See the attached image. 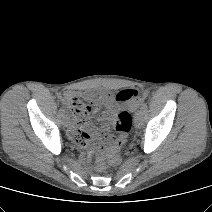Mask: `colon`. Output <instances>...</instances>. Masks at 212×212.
Here are the masks:
<instances>
[{"label": "colon", "instance_id": "5ec220e1", "mask_svg": "<svg viewBox=\"0 0 212 212\" xmlns=\"http://www.w3.org/2000/svg\"><path fill=\"white\" fill-rule=\"evenodd\" d=\"M115 98L118 101L130 102L132 105H136L140 101V93L136 89H123L116 93ZM65 106L74 117L85 115L89 110L88 106L76 96L66 97ZM131 128V114L127 111H121L116 120L118 137L112 140L105 159H100L97 162V168L99 170H104L107 165L116 166L121 162L119 151L124 144Z\"/></svg>", "mask_w": 212, "mask_h": 212}]
</instances>
